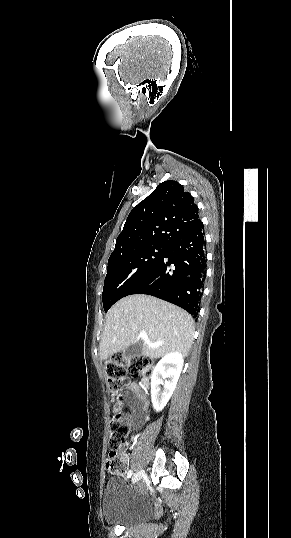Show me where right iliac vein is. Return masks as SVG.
<instances>
[{"label":"right iliac vein","mask_w":291,"mask_h":538,"mask_svg":"<svg viewBox=\"0 0 291 538\" xmlns=\"http://www.w3.org/2000/svg\"><path fill=\"white\" fill-rule=\"evenodd\" d=\"M144 474V470H139L133 477V483L138 482Z\"/></svg>","instance_id":"63e3f726"}]
</instances>
